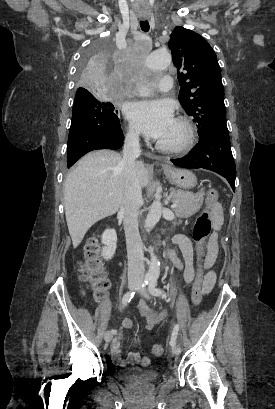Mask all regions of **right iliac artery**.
<instances>
[{
	"label": "right iliac artery",
	"instance_id": "obj_1",
	"mask_svg": "<svg viewBox=\"0 0 275 409\" xmlns=\"http://www.w3.org/2000/svg\"><path fill=\"white\" fill-rule=\"evenodd\" d=\"M149 281H150V276H146L145 279L143 280L142 285L140 286L139 289H141V288H143L144 286L148 285V284H149ZM136 291H137V290L127 292V293L122 297V300H121L122 306H126V305L131 301V299H132V298L134 297V295L136 294ZM111 333H115V330H112Z\"/></svg>",
	"mask_w": 275,
	"mask_h": 409
}]
</instances>
